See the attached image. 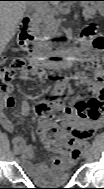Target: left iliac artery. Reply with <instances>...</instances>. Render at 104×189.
<instances>
[{
  "mask_svg": "<svg viewBox=\"0 0 104 189\" xmlns=\"http://www.w3.org/2000/svg\"><path fill=\"white\" fill-rule=\"evenodd\" d=\"M84 145H85V148H84V149L89 148V143L86 142Z\"/></svg>",
  "mask_w": 104,
  "mask_h": 189,
  "instance_id": "obj_1",
  "label": "left iliac artery"
}]
</instances>
